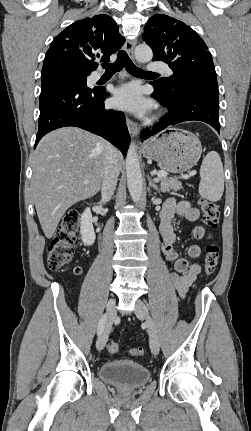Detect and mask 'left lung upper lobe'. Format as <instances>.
<instances>
[{
	"label": "left lung upper lobe",
	"instance_id": "left-lung-upper-lobe-1",
	"mask_svg": "<svg viewBox=\"0 0 251 431\" xmlns=\"http://www.w3.org/2000/svg\"><path fill=\"white\" fill-rule=\"evenodd\" d=\"M143 40L152 48V60L164 61L173 71L172 76L152 82L163 95H175L181 87L201 82L217 85L208 47L185 23L156 14L144 27Z\"/></svg>",
	"mask_w": 251,
	"mask_h": 431
}]
</instances>
